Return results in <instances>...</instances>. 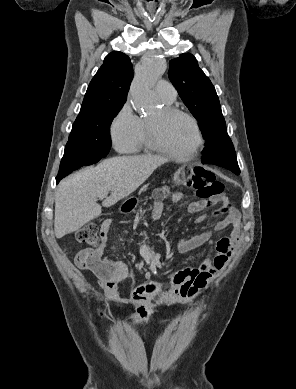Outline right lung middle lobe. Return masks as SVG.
<instances>
[{
	"label": "right lung middle lobe",
	"mask_w": 296,
	"mask_h": 389,
	"mask_svg": "<svg viewBox=\"0 0 296 389\" xmlns=\"http://www.w3.org/2000/svg\"><path fill=\"white\" fill-rule=\"evenodd\" d=\"M121 107L101 110L75 120L59 171H74L106 157L111 145L109 128Z\"/></svg>",
	"instance_id": "1"
}]
</instances>
